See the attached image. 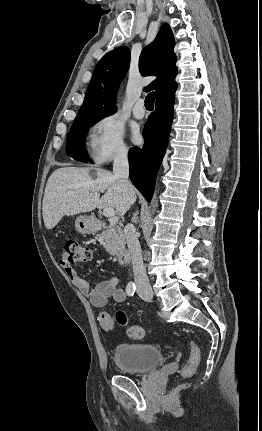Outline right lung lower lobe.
<instances>
[{"instance_id": "98d812e1", "label": "right lung lower lobe", "mask_w": 262, "mask_h": 431, "mask_svg": "<svg viewBox=\"0 0 262 431\" xmlns=\"http://www.w3.org/2000/svg\"><path fill=\"white\" fill-rule=\"evenodd\" d=\"M174 98L175 90L156 99V109L143 129L144 145L133 147L128 155L130 179L147 201L153 196L156 176L167 148Z\"/></svg>"}]
</instances>
